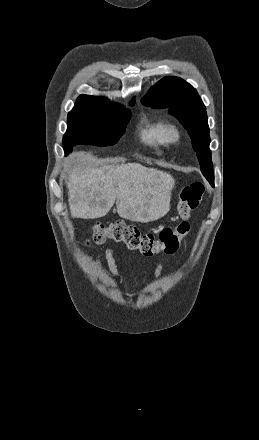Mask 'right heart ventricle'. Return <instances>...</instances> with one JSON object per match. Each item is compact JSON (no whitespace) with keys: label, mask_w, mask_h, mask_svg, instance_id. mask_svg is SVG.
<instances>
[{"label":"right heart ventricle","mask_w":259,"mask_h":440,"mask_svg":"<svg viewBox=\"0 0 259 440\" xmlns=\"http://www.w3.org/2000/svg\"><path fill=\"white\" fill-rule=\"evenodd\" d=\"M167 121L161 117H145L139 128L141 141L152 149L159 150L168 145L166 137Z\"/></svg>","instance_id":"e07e8e85"}]
</instances>
